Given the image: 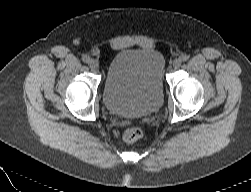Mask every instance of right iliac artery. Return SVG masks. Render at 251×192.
Listing matches in <instances>:
<instances>
[{"mask_svg": "<svg viewBox=\"0 0 251 192\" xmlns=\"http://www.w3.org/2000/svg\"><path fill=\"white\" fill-rule=\"evenodd\" d=\"M90 60V57L88 55H83L82 56V61L87 63Z\"/></svg>", "mask_w": 251, "mask_h": 192, "instance_id": "right-iliac-artery-1", "label": "right iliac artery"}]
</instances>
